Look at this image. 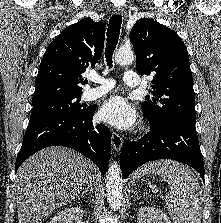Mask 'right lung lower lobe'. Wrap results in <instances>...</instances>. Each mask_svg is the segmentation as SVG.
<instances>
[{
	"label": "right lung lower lobe",
	"instance_id": "obj_1",
	"mask_svg": "<svg viewBox=\"0 0 221 223\" xmlns=\"http://www.w3.org/2000/svg\"><path fill=\"white\" fill-rule=\"evenodd\" d=\"M78 115L52 114L30 121L15 171L31 155L49 146H65L91 159L105 174L111 153V133L104 125H93V112Z\"/></svg>",
	"mask_w": 221,
	"mask_h": 223
}]
</instances>
